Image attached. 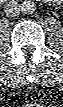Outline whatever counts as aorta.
Wrapping results in <instances>:
<instances>
[{
  "label": "aorta",
  "instance_id": "762f6f07",
  "mask_svg": "<svg viewBox=\"0 0 63 107\" xmlns=\"http://www.w3.org/2000/svg\"><path fill=\"white\" fill-rule=\"evenodd\" d=\"M21 10L25 14H32L36 10V4L33 0H25L21 5Z\"/></svg>",
  "mask_w": 63,
  "mask_h": 107
}]
</instances>
